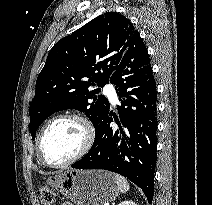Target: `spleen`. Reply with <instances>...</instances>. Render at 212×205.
Returning <instances> with one entry per match:
<instances>
[{
	"label": "spleen",
	"mask_w": 212,
	"mask_h": 205,
	"mask_svg": "<svg viewBox=\"0 0 212 205\" xmlns=\"http://www.w3.org/2000/svg\"><path fill=\"white\" fill-rule=\"evenodd\" d=\"M115 180H116V183H117V186H118L120 192L126 193L129 190L130 185L123 176H121L119 174H115Z\"/></svg>",
	"instance_id": "1"
}]
</instances>
